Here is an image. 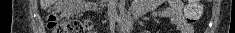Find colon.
I'll return each mask as SVG.
<instances>
[{
    "mask_svg": "<svg viewBox=\"0 0 235 33\" xmlns=\"http://www.w3.org/2000/svg\"><path fill=\"white\" fill-rule=\"evenodd\" d=\"M184 11L187 21L195 22L201 15V6L197 0H188ZM47 27L51 33H87L91 23L77 19L60 22L58 13L53 11L49 14Z\"/></svg>",
    "mask_w": 235,
    "mask_h": 33,
    "instance_id": "1",
    "label": "colon"
}]
</instances>
